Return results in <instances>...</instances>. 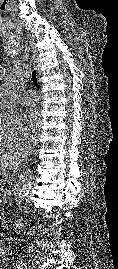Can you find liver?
I'll return each mask as SVG.
<instances>
[{
    "label": "liver",
    "instance_id": "6515ba94",
    "mask_svg": "<svg viewBox=\"0 0 118 269\" xmlns=\"http://www.w3.org/2000/svg\"><path fill=\"white\" fill-rule=\"evenodd\" d=\"M21 162V155L17 152H0V170H15L20 166Z\"/></svg>",
    "mask_w": 118,
    "mask_h": 269
}]
</instances>
